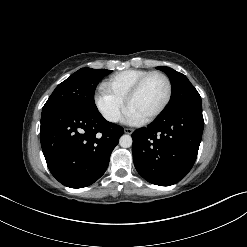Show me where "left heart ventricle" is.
Wrapping results in <instances>:
<instances>
[{"mask_svg":"<svg viewBox=\"0 0 247 247\" xmlns=\"http://www.w3.org/2000/svg\"><path fill=\"white\" fill-rule=\"evenodd\" d=\"M166 94L167 85L165 80L161 76H152L131 100L128 108L144 119L161 106Z\"/></svg>","mask_w":247,"mask_h":247,"instance_id":"obj_1","label":"left heart ventricle"}]
</instances>
